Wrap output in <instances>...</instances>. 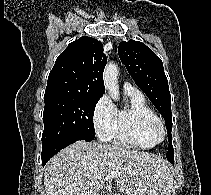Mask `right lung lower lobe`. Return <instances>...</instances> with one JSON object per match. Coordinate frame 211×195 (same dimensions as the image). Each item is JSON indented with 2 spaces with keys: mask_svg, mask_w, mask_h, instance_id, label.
Segmentation results:
<instances>
[{
  "mask_svg": "<svg viewBox=\"0 0 211 195\" xmlns=\"http://www.w3.org/2000/svg\"><path fill=\"white\" fill-rule=\"evenodd\" d=\"M79 140L81 139L79 138L64 139V140L49 144L45 147H42V153H41L42 164L45 165L46 162L51 157H53L56 153H58L61 149Z\"/></svg>",
  "mask_w": 211,
  "mask_h": 195,
  "instance_id": "98d812e1",
  "label": "right lung lower lobe"
}]
</instances>
